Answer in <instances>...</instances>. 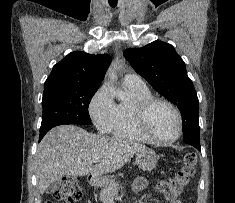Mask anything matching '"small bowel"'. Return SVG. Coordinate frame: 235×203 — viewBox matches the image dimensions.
I'll list each match as a JSON object with an SVG mask.
<instances>
[{"label":"small bowel","mask_w":235,"mask_h":203,"mask_svg":"<svg viewBox=\"0 0 235 203\" xmlns=\"http://www.w3.org/2000/svg\"><path fill=\"white\" fill-rule=\"evenodd\" d=\"M147 185H148V181L143 177H139L135 180L133 188L136 192H140L144 190L147 187ZM172 203H182V202L175 199V200H172Z\"/></svg>","instance_id":"1"}]
</instances>
